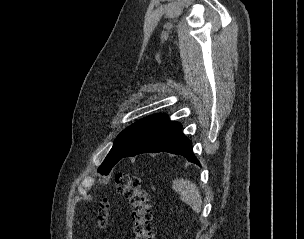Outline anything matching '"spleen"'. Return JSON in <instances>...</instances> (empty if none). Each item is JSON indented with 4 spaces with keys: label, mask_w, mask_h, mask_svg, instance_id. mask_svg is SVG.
<instances>
[{
    "label": "spleen",
    "mask_w": 304,
    "mask_h": 239,
    "mask_svg": "<svg viewBox=\"0 0 304 239\" xmlns=\"http://www.w3.org/2000/svg\"><path fill=\"white\" fill-rule=\"evenodd\" d=\"M175 192L180 194L183 202L188 204L196 213L201 212L202 197L195 183L187 179H176L172 185Z\"/></svg>",
    "instance_id": "1"
}]
</instances>
